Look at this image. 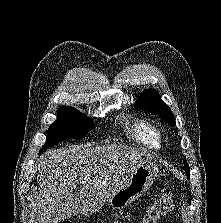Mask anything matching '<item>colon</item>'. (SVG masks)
<instances>
[{"mask_svg": "<svg viewBox=\"0 0 221 223\" xmlns=\"http://www.w3.org/2000/svg\"><path fill=\"white\" fill-rule=\"evenodd\" d=\"M172 209V195L169 191H164L159 198L148 205L138 223H159ZM60 223H70V221L62 220Z\"/></svg>", "mask_w": 221, "mask_h": 223, "instance_id": "5ec220e1", "label": "colon"}]
</instances>
